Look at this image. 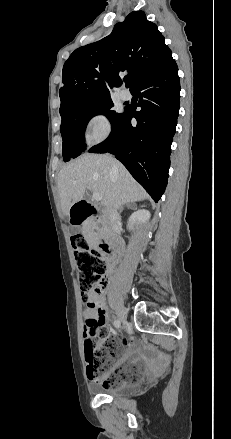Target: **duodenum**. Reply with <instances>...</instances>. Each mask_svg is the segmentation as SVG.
I'll use <instances>...</instances> for the list:
<instances>
[{"instance_id": "obj_1", "label": "duodenum", "mask_w": 231, "mask_h": 439, "mask_svg": "<svg viewBox=\"0 0 231 439\" xmlns=\"http://www.w3.org/2000/svg\"><path fill=\"white\" fill-rule=\"evenodd\" d=\"M76 212L73 216V220H76L75 223H84L86 221H93L96 222L98 220V210L99 206L95 203H89L86 201H80L75 205ZM97 246L100 248V250L106 254L109 258V261L112 262V244L109 242L106 238L100 239L97 243Z\"/></svg>"}]
</instances>
